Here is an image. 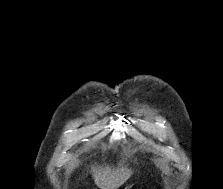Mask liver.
I'll return each instance as SVG.
<instances>
[{
    "mask_svg": "<svg viewBox=\"0 0 223 189\" xmlns=\"http://www.w3.org/2000/svg\"><path fill=\"white\" fill-rule=\"evenodd\" d=\"M94 182L100 189H117L131 176L132 171L126 167L111 169L109 166L92 167Z\"/></svg>",
    "mask_w": 223,
    "mask_h": 189,
    "instance_id": "liver-1",
    "label": "liver"
}]
</instances>
